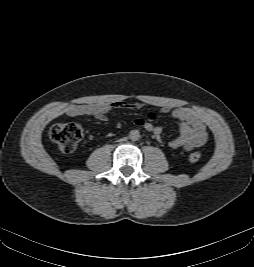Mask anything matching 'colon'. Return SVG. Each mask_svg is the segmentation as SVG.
<instances>
[{
	"mask_svg": "<svg viewBox=\"0 0 254 267\" xmlns=\"http://www.w3.org/2000/svg\"><path fill=\"white\" fill-rule=\"evenodd\" d=\"M51 140L57 144L63 153H72L84 135L82 126L77 122L58 123L50 128ZM201 159L199 152H192L189 160L193 163Z\"/></svg>",
	"mask_w": 254,
	"mask_h": 267,
	"instance_id": "1",
	"label": "colon"
}]
</instances>
